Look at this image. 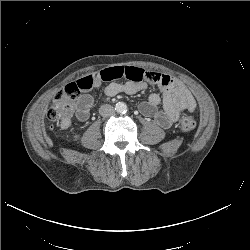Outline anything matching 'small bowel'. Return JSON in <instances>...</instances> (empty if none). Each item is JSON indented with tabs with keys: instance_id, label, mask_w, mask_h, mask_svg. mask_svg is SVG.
I'll return each mask as SVG.
<instances>
[{
	"instance_id": "1",
	"label": "small bowel",
	"mask_w": 250,
	"mask_h": 250,
	"mask_svg": "<svg viewBox=\"0 0 250 250\" xmlns=\"http://www.w3.org/2000/svg\"><path fill=\"white\" fill-rule=\"evenodd\" d=\"M76 83L83 92L76 102V117L80 122L89 118L95 106V100L89 92L103 83H107L104 92L110 97L120 93L133 95L150 84L157 85L160 93L151 94L148 101L141 103L139 108L143 115L153 118L164 129L169 128L182 111H194L196 108L193 95L183 83L169 75L140 67L107 68L84 76ZM70 125L71 120L61 122L63 129H68Z\"/></svg>"
}]
</instances>
